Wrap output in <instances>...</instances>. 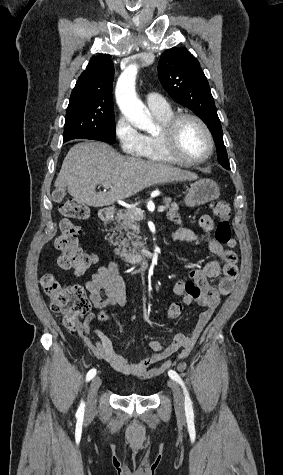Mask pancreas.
I'll use <instances>...</instances> for the list:
<instances>
[{"mask_svg":"<svg viewBox=\"0 0 283 475\" xmlns=\"http://www.w3.org/2000/svg\"><path fill=\"white\" fill-rule=\"evenodd\" d=\"M163 204L165 206L166 216H168V220L170 222H175L178 226H182L180 220V216L178 214L179 206H177L176 202H172L171 198H164ZM143 216L138 214L137 208H127V210H120L119 214H117L114 222L116 232H120L121 236L118 238H122V234L126 236L123 239H113L114 236H110L109 241L113 243V245H118L115 247V253H120V255H124V253H135L138 249V245H141V241H139V226L138 220H142ZM178 218V220H175Z\"/></svg>","mask_w":283,"mask_h":475,"instance_id":"1","label":"pancreas"}]
</instances>
